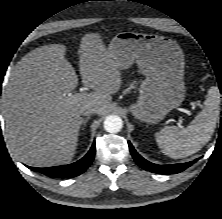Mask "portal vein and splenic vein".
Here are the masks:
<instances>
[{
    "label": "portal vein and splenic vein",
    "mask_w": 222,
    "mask_h": 219,
    "mask_svg": "<svg viewBox=\"0 0 222 219\" xmlns=\"http://www.w3.org/2000/svg\"><path fill=\"white\" fill-rule=\"evenodd\" d=\"M78 94H79V93H78ZM68 96H69V97H72V96H74V95H72V94L70 93ZM182 122H183V118L180 117V118H179V122L177 123L180 128H183Z\"/></svg>",
    "instance_id": "1"
}]
</instances>
